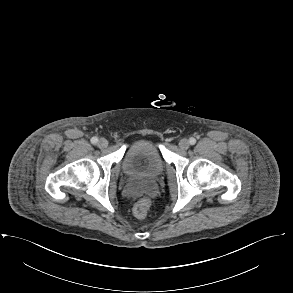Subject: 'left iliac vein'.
Returning <instances> with one entry per match:
<instances>
[{
    "label": "left iliac vein",
    "mask_w": 293,
    "mask_h": 293,
    "mask_svg": "<svg viewBox=\"0 0 293 293\" xmlns=\"http://www.w3.org/2000/svg\"><path fill=\"white\" fill-rule=\"evenodd\" d=\"M189 146H190V143L187 139L184 138L179 141V147L181 150H187Z\"/></svg>",
    "instance_id": "left-iliac-vein-1"
}]
</instances>
